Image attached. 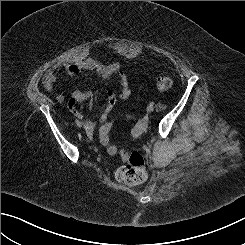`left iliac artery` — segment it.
I'll return each instance as SVG.
<instances>
[{"label":"left iliac artery","mask_w":245,"mask_h":245,"mask_svg":"<svg viewBox=\"0 0 245 245\" xmlns=\"http://www.w3.org/2000/svg\"><path fill=\"white\" fill-rule=\"evenodd\" d=\"M150 105L153 106L154 105V102H150Z\"/></svg>","instance_id":"44dca946"}]
</instances>
